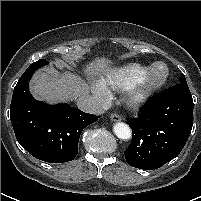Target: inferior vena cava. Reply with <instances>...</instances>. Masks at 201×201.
I'll return each mask as SVG.
<instances>
[{"label": "inferior vena cava", "mask_w": 201, "mask_h": 201, "mask_svg": "<svg viewBox=\"0 0 201 201\" xmlns=\"http://www.w3.org/2000/svg\"><path fill=\"white\" fill-rule=\"evenodd\" d=\"M76 103L78 108L84 112L98 115L104 113V109L100 102L88 94H83L77 97Z\"/></svg>", "instance_id": "obj_1"}]
</instances>
